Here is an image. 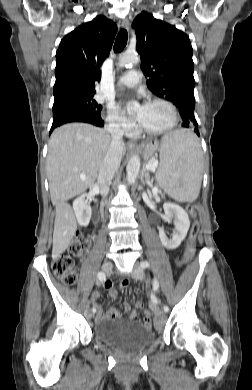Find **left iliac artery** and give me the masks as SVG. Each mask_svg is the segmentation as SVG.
Listing matches in <instances>:
<instances>
[{
  "instance_id": "1",
  "label": "left iliac artery",
  "mask_w": 252,
  "mask_h": 390,
  "mask_svg": "<svg viewBox=\"0 0 252 390\" xmlns=\"http://www.w3.org/2000/svg\"><path fill=\"white\" fill-rule=\"evenodd\" d=\"M149 267V262L148 261H142L141 262V268L145 269V268H148ZM159 288V283L156 279L153 280V290L156 291L157 289ZM151 300H157V302L159 303L157 297L155 296L154 293L151 294ZM163 309L165 312H168L169 311V308L167 305H163Z\"/></svg>"
}]
</instances>
